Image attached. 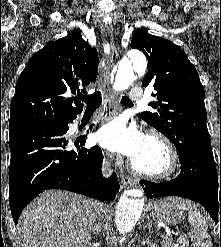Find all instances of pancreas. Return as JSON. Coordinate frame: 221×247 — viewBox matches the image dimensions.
Returning a JSON list of instances; mask_svg holds the SVG:
<instances>
[{
    "instance_id": "pancreas-1",
    "label": "pancreas",
    "mask_w": 221,
    "mask_h": 247,
    "mask_svg": "<svg viewBox=\"0 0 221 247\" xmlns=\"http://www.w3.org/2000/svg\"><path fill=\"white\" fill-rule=\"evenodd\" d=\"M162 244H163L164 247H173V245L170 242H167V241H163Z\"/></svg>"
}]
</instances>
